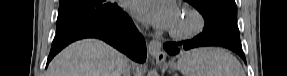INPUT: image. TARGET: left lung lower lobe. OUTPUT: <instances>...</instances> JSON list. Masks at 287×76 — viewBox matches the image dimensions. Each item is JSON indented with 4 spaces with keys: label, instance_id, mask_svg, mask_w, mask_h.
Masks as SVG:
<instances>
[{
    "label": "left lung lower lobe",
    "instance_id": "left-lung-lower-lobe-1",
    "mask_svg": "<svg viewBox=\"0 0 287 76\" xmlns=\"http://www.w3.org/2000/svg\"><path fill=\"white\" fill-rule=\"evenodd\" d=\"M201 46H222L228 48L240 55L246 63L240 40L214 34L211 31L207 30L205 27L203 29V32L197 35L195 38L178 43L167 42L164 44V49L169 55H176L181 50H188Z\"/></svg>",
    "mask_w": 287,
    "mask_h": 76
}]
</instances>
